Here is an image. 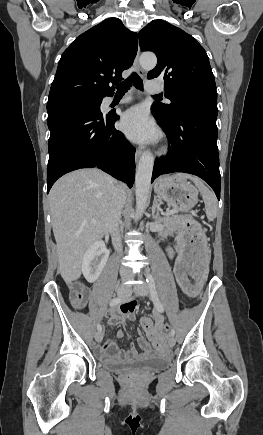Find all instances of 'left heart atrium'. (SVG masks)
I'll list each match as a JSON object with an SVG mask.
<instances>
[{"mask_svg": "<svg viewBox=\"0 0 263 435\" xmlns=\"http://www.w3.org/2000/svg\"><path fill=\"white\" fill-rule=\"evenodd\" d=\"M120 129L128 138L139 143L155 142L159 138L158 129L141 107L131 108L123 114Z\"/></svg>", "mask_w": 263, "mask_h": 435, "instance_id": "1", "label": "left heart atrium"}]
</instances>
